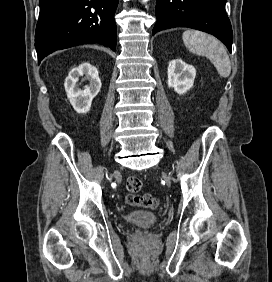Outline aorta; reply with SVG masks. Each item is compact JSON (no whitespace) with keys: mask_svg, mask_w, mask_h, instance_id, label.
<instances>
[{"mask_svg":"<svg viewBox=\"0 0 272 282\" xmlns=\"http://www.w3.org/2000/svg\"><path fill=\"white\" fill-rule=\"evenodd\" d=\"M148 0H143V2H147Z\"/></svg>","mask_w":272,"mask_h":282,"instance_id":"1","label":"aorta"}]
</instances>
